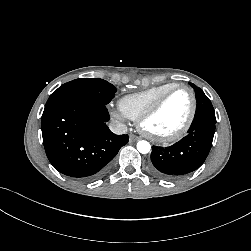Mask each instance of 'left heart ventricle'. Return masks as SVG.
Segmentation results:
<instances>
[{
    "label": "left heart ventricle",
    "mask_w": 251,
    "mask_h": 251,
    "mask_svg": "<svg viewBox=\"0 0 251 251\" xmlns=\"http://www.w3.org/2000/svg\"><path fill=\"white\" fill-rule=\"evenodd\" d=\"M191 95L186 90L171 94L160 110L145 123L154 135L166 136L178 131L186 122L191 111Z\"/></svg>",
    "instance_id": "obj_1"
}]
</instances>
